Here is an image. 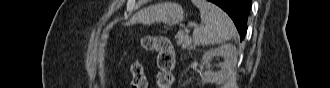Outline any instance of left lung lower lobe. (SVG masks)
<instances>
[{
  "instance_id": "0a47b994",
  "label": "left lung lower lobe",
  "mask_w": 330,
  "mask_h": 88,
  "mask_svg": "<svg viewBox=\"0 0 330 88\" xmlns=\"http://www.w3.org/2000/svg\"><path fill=\"white\" fill-rule=\"evenodd\" d=\"M222 8L233 20L240 40L244 39L247 31V18L249 15L251 0H209Z\"/></svg>"
}]
</instances>
